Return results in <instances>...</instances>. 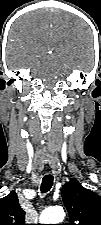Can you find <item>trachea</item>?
<instances>
[{"mask_svg":"<svg viewBox=\"0 0 101 225\" xmlns=\"http://www.w3.org/2000/svg\"><path fill=\"white\" fill-rule=\"evenodd\" d=\"M52 185H53V176L52 175L44 176L40 187L41 193L43 194L48 192L52 188Z\"/></svg>","mask_w":101,"mask_h":225,"instance_id":"3493384b","label":"trachea"}]
</instances>
